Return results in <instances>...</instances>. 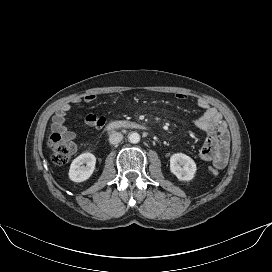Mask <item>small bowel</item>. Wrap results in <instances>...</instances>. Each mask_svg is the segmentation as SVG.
<instances>
[{
	"label": "small bowel",
	"instance_id": "c3829d8e",
	"mask_svg": "<svg viewBox=\"0 0 272 272\" xmlns=\"http://www.w3.org/2000/svg\"><path fill=\"white\" fill-rule=\"evenodd\" d=\"M95 94L86 95L83 100L87 103L96 100ZM176 99L186 100L187 96L182 93L176 94ZM81 102L80 98H75L71 103ZM198 106L204 113L195 120V126L204 131L207 135L203 146L198 151V157L203 161L212 162L214 167L222 169L226 166L229 158L230 134L227 124L222 119L220 113L203 99L198 100ZM71 109L70 103H64L55 113L52 121V128L68 140H73L76 134L66 126V115ZM85 122L90 127L100 129L104 123V117L96 114H88Z\"/></svg>",
	"mask_w": 272,
	"mask_h": 272
}]
</instances>
